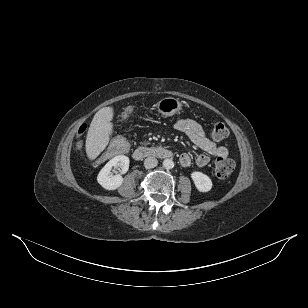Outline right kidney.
<instances>
[{
  "label": "right kidney",
  "mask_w": 308,
  "mask_h": 308,
  "mask_svg": "<svg viewBox=\"0 0 308 308\" xmlns=\"http://www.w3.org/2000/svg\"><path fill=\"white\" fill-rule=\"evenodd\" d=\"M130 160L127 156L118 155L112 158L99 172L97 176L98 183L106 190H115L123 183L121 174L129 169ZM121 168V174L113 175L112 168Z\"/></svg>",
  "instance_id": "obj_1"
}]
</instances>
